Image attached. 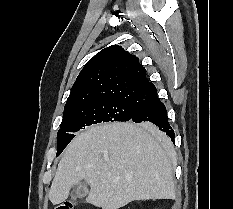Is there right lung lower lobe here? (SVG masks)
<instances>
[{
	"label": "right lung lower lobe",
	"mask_w": 233,
	"mask_h": 209,
	"mask_svg": "<svg viewBox=\"0 0 233 209\" xmlns=\"http://www.w3.org/2000/svg\"><path fill=\"white\" fill-rule=\"evenodd\" d=\"M130 121L146 124L152 127L157 126V130L166 133L171 138V141L174 143V130L171 128L168 122L166 107L158 97H155L150 102L141 106L134 114V116L130 119Z\"/></svg>",
	"instance_id": "right-lung-lower-lobe-1"
}]
</instances>
